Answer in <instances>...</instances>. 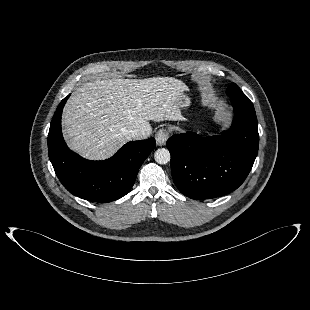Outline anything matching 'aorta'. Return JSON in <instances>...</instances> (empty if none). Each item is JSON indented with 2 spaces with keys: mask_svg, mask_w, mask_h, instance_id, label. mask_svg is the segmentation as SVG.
<instances>
[{
  "mask_svg": "<svg viewBox=\"0 0 310 310\" xmlns=\"http://www.w3.org/2000/svg\"><path fill=\"white\" fill-rule=\"evenodd\" d=\"M155 161L158 164H167L170 161V152L168 149L159 148L154 153Z\"/></svg>",
  "mask_w": 310,
  "mask_h": 310,
  "instance_id": "762f6f07",
  "label": "aorta"
}]
</instances>
